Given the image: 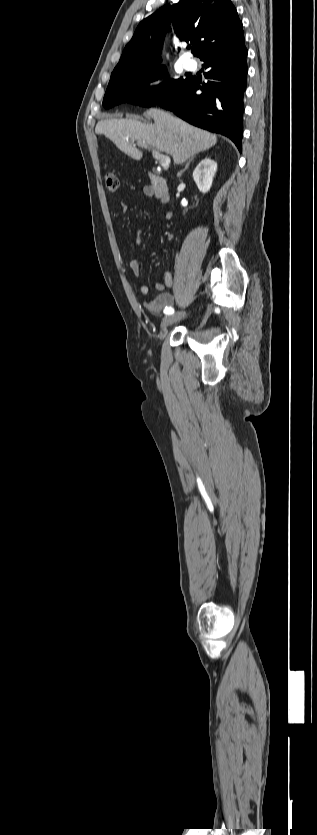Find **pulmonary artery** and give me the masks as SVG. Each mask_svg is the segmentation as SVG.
<instances>
[{
  "instance_id": "e3ab8cb5",
  "label": "pulmonary artery",
  "mask_w": 317,
  "mask_h": 835,
  "mask_svg": "<svg viewBox=\"0 0 317 835\" xmlns=\"http://www.w3.org/2000/svg\"><path fill=\"white\" fill-rule=\"evenodd\" d=\"M186 70L193 71L197 68V61L194 58H189L184 62Z\"/></svg>"
}]
</instances>
